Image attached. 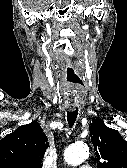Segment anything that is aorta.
I'll list each match as a JSON object with an SVG mask.
<instances>
[{"label":"aorta","mask_w":127,"mask_h":168,"mask_svg":"<svg viewBox=\"0 0 127 168\" xmlns=\"http://www.w3.org/2000/svg\"><path fill=\"white\" fill-rule=\"evenodd\" d=\"M88 157L89 149L83 143H75L69 146L64 153V159L69 165H79Z\"/></svg>","instance_id":"obj_1"}]
</instances>
